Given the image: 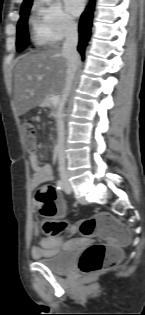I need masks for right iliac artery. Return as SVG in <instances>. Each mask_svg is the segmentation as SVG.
Listing matches in <instances>:
<instances>
[{
    "label": "right iliac artery",
    "mask_w": 145,
    "mask_h": 315,
    "mask_svg": "<svg viewBox=\"0 0 145 315\" xmlns=\"http://www.w3.org/2000/svg\"><path fill=\"white\" fill-rule=\"evenodd\" d=\"M56 186H57V189H59V190H63L64 187H65L62 180H58V181L56 182Z\"/></svg>",
    "instance_id": "1"
}]
</instances>
